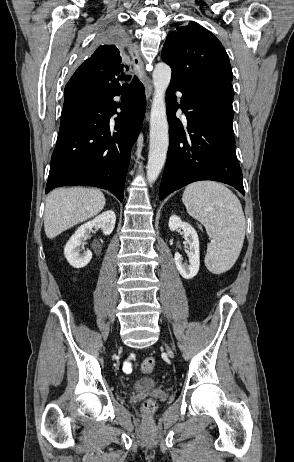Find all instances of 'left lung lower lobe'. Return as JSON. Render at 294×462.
Masks as SVG:
<instances>
[{
	"label": "left lung lower lobe",
	"instance_id": "1",
	"mask_svg": "<svg viewBox=\"0 0 294 462\" xmlns=\"http://www.w3.org/2000/svg\"><path fill=\"white\" fill-rule=\"evenodd\" d=\"M183 93L181 104L175 92ZM234 91L227 85L183 88L171 82L166 92L170 145L159 198L199 180H214L235 187L244 195L242 171L233 135ZM185 112L187 128L176 118Z\"/></svg>",
	"mask_w": 294,
	"mask_h": 462
}]
</instances>
